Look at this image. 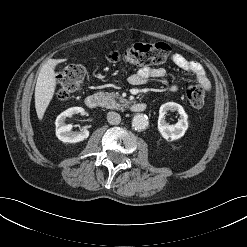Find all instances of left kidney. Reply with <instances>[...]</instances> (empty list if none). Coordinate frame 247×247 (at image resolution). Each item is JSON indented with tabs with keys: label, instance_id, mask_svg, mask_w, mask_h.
<instances>
[{
	"label": "left kidney",
	"instance_id": "obj_1",
	"mask_svg": "<svg viewBox=\"0 0 247 247\" xmlns=\"http://www.w3.org/2000/svg\"><path fill=\"white\" fill-rule=\"evenodd\" d=\"M177 111L180 119L174 125H169L165 121V115L168 111ZM188 129V115L180 104L167 102L161 105L159 109L158 130L162 137L166 140L175 141L184 136Z\"/></svg>",
	"mask_w": 247,
	"mask_h": 247
}]
</instances>
